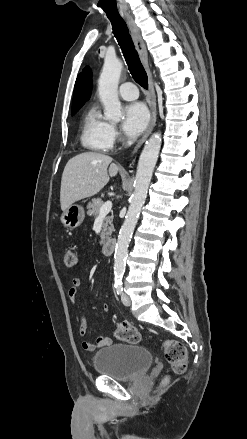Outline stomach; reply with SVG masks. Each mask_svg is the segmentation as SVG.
Masks as SVG:
<instances>
[{
  "mask_svg": "<svg viewBox=\"0 0 247 439\" xmlns=\"http://www.w3.org/2000/svg\"><path fill=\"white\" fill-rule=\"evenodd\" d=\"M84 217V209L79 205L72 204L63 211L61 222L65 227L74 229L82 224Z\"/></svg>",
  "mask_w": 247,
  "mask_h": 439,
  "instance_id": "obj_1",
  "label": "stomach"
}]
</instances>
